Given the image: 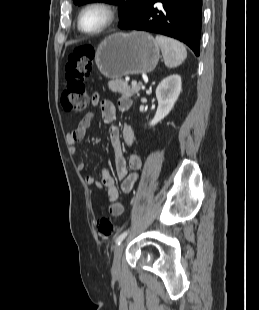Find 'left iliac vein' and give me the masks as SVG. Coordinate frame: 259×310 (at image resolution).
<instances>
[{
    "label": "left iliac vein",
    "instance_id": "left-iliac-vein-1",
    "mask_svg": "<svg viewBox=\"0 0 259 310\" xmlns=\"http://www.w3.org/2000/svg\"><path fill=\"white\" fill-rule=\"evenodd\" d=\"M123 251H124V243H120L114 251L113 264H112L113 274H119L121 271V258Z\"/></svg>",
    "mask_w": 259,
    "mask_h": 310
}]
</instances>
